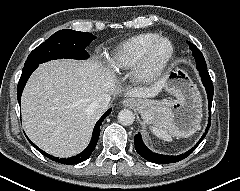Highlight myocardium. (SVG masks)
Masks as SVG:
<instances>
[{
    "instance_id": "myocardium-1",
    "label": "myocardium",
    "mask_w": 240,
    "mask_h": 191,
    "mask_svg": "<svg viewBox=\"0 0 240 191\" xmlns=\"http://www.w3.org/2000/svg\"><path fill=\"white\" fill-rule=\"evenodd\" d=\"M169 45V51L159 62H154L153 55L161 43ZM175 53L173 42L167 37H158L147 48L139 62L133 69V77L139 82H148L157 79L168 67Z\"/></svg>"
}]
</instances>
